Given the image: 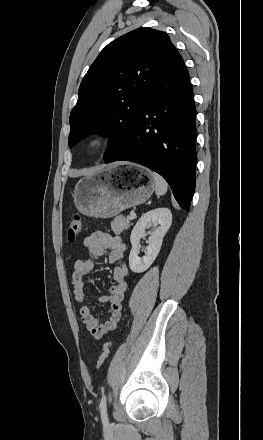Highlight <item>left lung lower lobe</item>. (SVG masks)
<instances>
[{"mask_svg": "<svg viewBox=\"0 0 263 440\" xmlns=\"http://www.w3.org/2000/svg\"><path fill=\"white\" fill-rule=\"evenodd\" d=\"M195 114L189 73L175 48L136 117L130 147L105 163L126 160L157 172L189 212L196 183Z\"/></svg>", "mask_w": 263, "mask_h": 440, "instance_id": "obj_1", "label": "left lung lower lobe"}]
</instances>
